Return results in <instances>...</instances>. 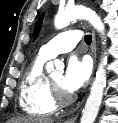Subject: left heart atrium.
Here are the masks:
<instances>
[{"instance_id":"obj_1","label":"left heart atrium","mask_w":118,"mask_h":123,"mask_svg":"<svg viewBox=\"0 0 118 123\" xmlns=\"http://www.w3.org/2000/svg\"><path fill=\"white\" fill-rule=\"evenodd\" d=\"M91 68L86 58L71 56L68 59L62 87L67 93L78 91L88 80Z\"/></svg>"}]
</instances>
